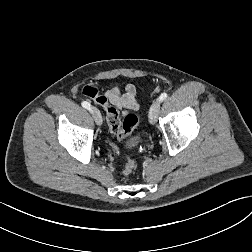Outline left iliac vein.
Here are the masks:
<instances>
[{
    "label": "left iliac vein",
    "instance_id": "left-iliac-vein-1",
    "mask_svg": "<svg viewBox=\"0 0 252 252\" xmlns=\"http://www.w3.org/2000/svg\"><path fill=\"white\" fill-rule=\"evenodd\" d=\"M160 113V101L153 102L149 112V120L151 124H155Z\"/></svg>",
    "mask_w": 252,
    "mask_h": 252
}]
</instances>
